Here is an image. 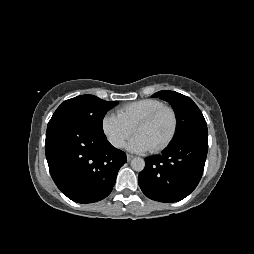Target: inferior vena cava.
I'll list each match as a JSON object with an SVG mask.
<instances>
[{
  "instance_id": "1",
  "label": "inferior vena cava",
  "mask_w": 254,
  "mask_h": 254,
  "mask_svg": "<svg viewBox=\"0 0 254 254\" xmlns=\"http://www.w3.org/2000/svg\"><path fill=\"white\" fill-rule=\"evenodd\" d=\"M114 146H116V147H123L124 146V142H122V141H116L114 143Z\"/></svg>"
}]
</instances>
